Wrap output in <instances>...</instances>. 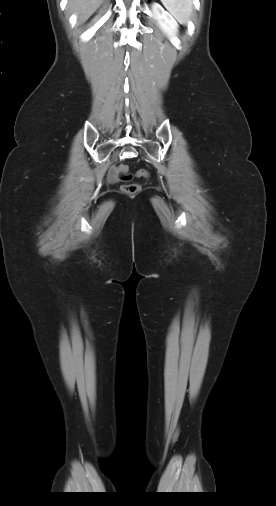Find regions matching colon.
<instances>
[{
  "label": "colon",
  "instance_id": "obj_1",
  "mask_svg": "<svg viewBox=\"0 0 276 506\" xmlns=\"http://www.w3.org/2000/svg\"><path fill=\"white\" fill-rule=\"evenodd\" d=\"M116 173L121 181L125 184L122 186L124 192L129 194H135L139 191L140 187L137 184L129 183L131 180V175L129 174V169L126 164H119L116 167ZM138 176L147 177L148 172L145 170H140L138 172Z\"/></svg>",
  "mask_w": 276,
  "mask_h": 506
}]
</instances>
